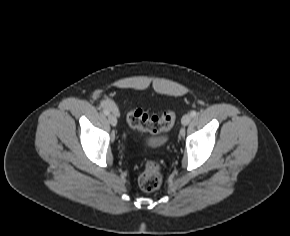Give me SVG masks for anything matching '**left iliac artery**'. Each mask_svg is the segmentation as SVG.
I'll return each instance as SVG.
<instances>
[{
    "label": "left iliac artery",
    "instance_id": "44dca946",
    "mask_svg": "<svg viewBox=\"0 0 290 236\" xmlns=\"http://www.w3.org/2000/svg\"><path fill=\"white\" fill-rule=\"evenodd\" d=\"M196 114H197V112L195 110L191 111V113H190L191 117H195Z\"/></svg>",
    "mask_w": 290,
    "mask_h": 236
}]
</instances>
